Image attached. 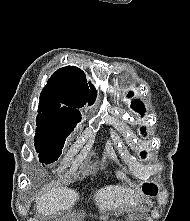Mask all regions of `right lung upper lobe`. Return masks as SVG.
Returning a JSON list of instances; mask_svg holds the SVG:
<instances>
[{"instance_id":"cb5924a9","label":"right lung upper lobe","mask_w":190,"mask_h":221,"mask_svg":"<svg viewBox=\"0 0 190 221\" xmlns=\"http://www.w3.org/2000/svg\"><path fill=\"white\" fill-rule=\"evenodd\" d=\"M89 91L86 76L82 70L74 66L57 70L48 80L40 94L37 118H52L69 123L81 120L77 108L86 102L92 105L96 98V90L91 85Z\"/></svg>"}]
</instances>
